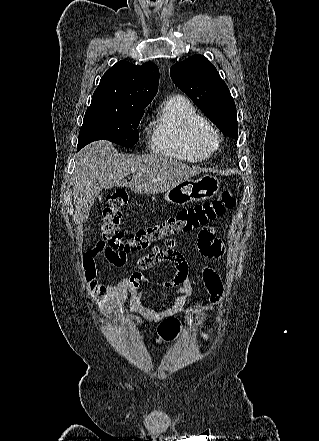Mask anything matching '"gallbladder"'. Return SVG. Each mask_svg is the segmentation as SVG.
Segmentation results:
<instances>
[{
  "label": "gallbladder",
  "instance_id": "bac80fb5",
  "mask_svg": "<svg viewBox=\"0 0 319 441\" xmlns=\"http://www.w3.org/2000/svg\"><path fill=\"white\" fill-rule=\"evenodd\" d=\"M102 198H103V196H102V195H99V196H98V200H99V201H101V200H102Z\"/></svg>",
  "mask_w": 319,
  "mask_h": 441
}]
</instances>
